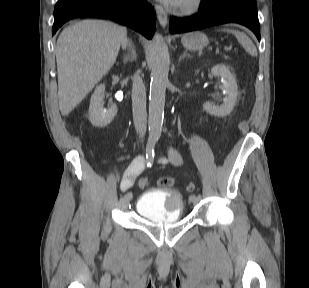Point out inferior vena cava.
Returning a JSON list of instances; mask_svg holds the SVG:
<instances>
[{
  "mask_svg": "<svg viewBox=\"0 0 309 288\" xmlns=\"http://www.w3.org/2000/svg\"><path fill=\"white\" fill-rule=\"evenodd\" d=\"M126 43L123 45V48L126 46ZM132 107L136 132L140 138H143L147 127L146 91L139 75L133 77Z\"/></svg>",
  "mask_w": 309,
  "mask_h": 288,
  "instance_id": "1",
  "label": "inferior vena cava"
}]
</instances>
